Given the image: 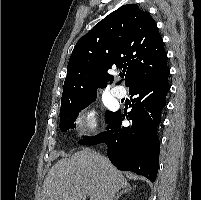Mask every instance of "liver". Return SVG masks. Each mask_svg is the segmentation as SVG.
<instances>
[{
    "mask_svg": "<svg viewBox=\"0 0 201 200\" xmlns=\"http://www.w3.org/2000/svg\"><path fill=\"white\" fill-rule=\"evenodd\" d=\"M128 187L125 177L110 161L89 148L59 160L47 174L42 200H113Z\"/></svg>",
    "mask_w": 201,
    "mask_h": 200,
    "instance_id": "liver-1",
    "label": "liver"
}]
</instances>
